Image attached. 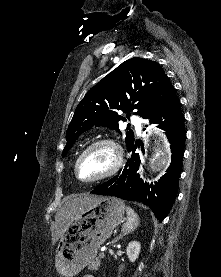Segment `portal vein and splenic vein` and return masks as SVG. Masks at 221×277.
Segmentation results:
<instances>
[{
  "instance_id": "obj_1",
  "label": "portal vein and splenic vein",
  "mask_w": 221,
  "mask_h": 277,
  "mask_svg": "<svg viewBox=\"0 0 221 277\" xmlns=\"http://www.w3.org/2000/svg\"><path fill=\"white\" fill-rule=\"evenodd\" d=\"M99 256L104 257V252H100Z\"/></svg>"
}]
</instances>
